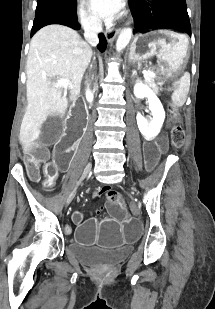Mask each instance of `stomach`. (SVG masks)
Instances as JSON below:
<instances>
[{
  "instance_id": "0dacf381",
  "label": "stomach",
  "mask_w": 215,
  "mask_h": 309,
  "mask_svg": "<svg viewBox=\"0 0 215 309\" xmlns=\"http://www.w3.org/2000/svg\"><path fill=\"white\" fill-rule=\"evenodd\" d=\"M189 41L185 34L168 29H155L134 36L129 49L132 63L157 58L159 71L170 77L186 64Z\"/></svg>"
}]
</instances>
